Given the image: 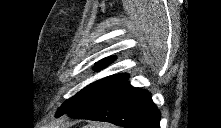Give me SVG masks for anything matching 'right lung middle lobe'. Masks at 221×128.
Segmentation results:
<instances>
[{
    "instance_id": "obj_1",
    "label": "right lung middle lobe",
    "mask_w": 221,
    "mask_h": 128,
    "mask_svg": "<svg viewBox=\"0 0 221 128\" xmlns=\"http://www.w3.org/2000/svg\"><path fill=\"white\" fill-rule=\"evenodd\" d=\"M127 76H108L86 86L75 96L67 100L57 111L56 116L70 112L80 106L92 103L113 91L127 80Z\"/></svg>"
}]
</instances>
